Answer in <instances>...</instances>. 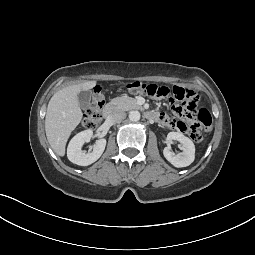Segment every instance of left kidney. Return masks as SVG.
<instances>
[{
	"instance_id": "left-kidney-1",
	"label": "left kidney",
	"mask_w": 255,
	"mask_h": 255,
	"mask_svg": "<svg viewBox=\"0 0 255 255\" xmlns=\"http://www.w3.org/2000/svg\"><path fill=\"white\" fill-rule=\"evenodd\" d=\"M168 142L177 140L182 145V152L175 154L169 147L164 148V157L175 167L181 168L189 166L195 159V145L188 137L180 132H170L167 135Z\"/></svg>"
}]
</instances>
